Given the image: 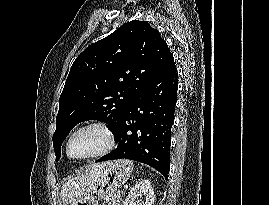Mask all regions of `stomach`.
<instances>
[{
	"instance_id": "1",
	"label": "stomach",
	"mask_w": 269,
	"mask_h": 205,
	"mask_svg": "<svg viewBox=\"0 0 269 205\" xmlns=\"http://www.w3.org/2000/svg\"><path fill=\"white\" fill-rule=\"evenodd\" d=\"M132 171L133 163L129 160L109 162L93 191L73 200L70 205H98V200L109 205L116 200L120 188L129 180Z\"/></svg>"
}]
</instances>
